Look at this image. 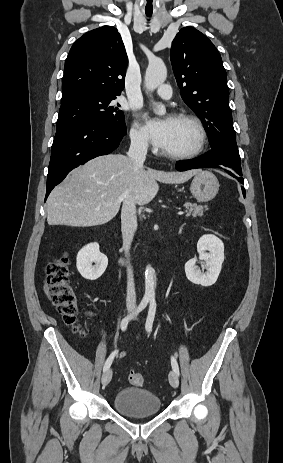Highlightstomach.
Returning <instances> with one entry per match:
<instances>
[{"label": "stomach", "mask_w": 283, "mask_h": 463, "mask_svg": "<svg viewBox=\"0 0 283 463\" xmlns=\"http://www.w3.org/2000/svg\"><path fill=\"white\" fill-rule=\"evenodd\" d=\"M219 186V181L212 172L200 170L191 182L190 191L198 201L207 202L216 196Z\"/></svg>", "instance_id": "obj_1"}]
</instances>
